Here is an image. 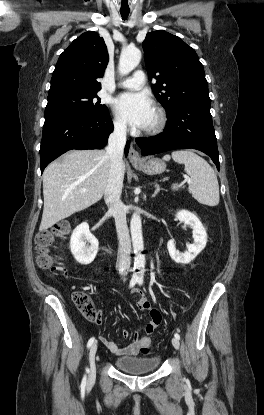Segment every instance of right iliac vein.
<instances>
[{
    "label": "right iliac vein",
    "mask_w": 264,
    "mask_h": 415,
    "mask_svg": "<svg viewBox=\"0 0 264 415\" xmlns=\"http://www.w3.org/2000/svg\"><path fill=\"white\" fill-rule=\"evenodd\" d=\"M97 342L91 346L90 353H89V364H90V371H89V379L93 380L95 378L96 373V364H95V355L97 352Z\"/></svg>",
    "instance_id": "right-iliac-vein-1"
}]
</instances>
